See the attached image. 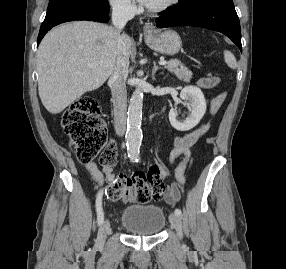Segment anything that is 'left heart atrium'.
Masks as SVG:
<instances>
[{"label":"left heart atrium","instance_id":"39dd6f15","mask_svg":"<svg viewBox=\"0 0 286 269\" xmlns=\"http://www.w3.org/2000/svg\"><path fill=\"white\" fill-rule=\"evenodd\" d=\"M139 3H141L142 5H148L150 0H137Z\"/></svg>","mask_w":286,"mask_h":269}]
</instances>
